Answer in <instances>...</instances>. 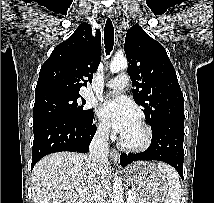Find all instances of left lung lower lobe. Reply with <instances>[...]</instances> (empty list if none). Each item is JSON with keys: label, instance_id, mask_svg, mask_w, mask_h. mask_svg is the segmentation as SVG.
Returning a JSON list of instances; mask_svg holds the SVG:
<instances>
[{"label": "left lung lower lobe", "instance_id": "left-lung-lower-lobe-1", "mask_svg": "<svg viewBox=\"0 0 214 203\" xmlns=\"http://www.w3.org/2000/svg\"><path fill=\"white\" fill-rule=\"evenodd\" d=\"M184 120L168 119L152 130L149 148L141 153L122 154L120 164L124 167L133 161L158 160L173 166L183 179Z\"/></svg>", "mask_w": 214, "mask_h": 203}]
</instances>
